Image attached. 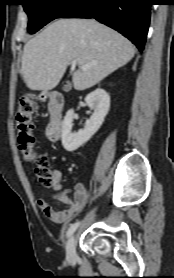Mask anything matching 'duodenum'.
I'll return each instance as SVG.
<instances>
[{
    "label": "duodenum",
    "mask_w": 174,
    "mask_h": 278,
    "mask_svg": "<svg viewBox=\"0 0 174 278\" xmlns=\"http://www.w3.org/2000/svg\"><path fill=\"white\" fill-rule=\"evenodd\" d=\"M49 107V124L46 134L49 139L56 140L62 131L64 97L60 92L51 91L41 95Z\"/></svg>",
    "instance_id": "410a0bca"
}]
</instances>
